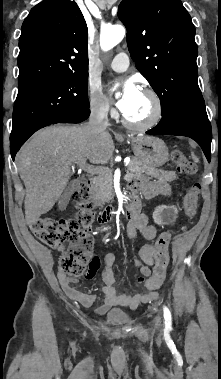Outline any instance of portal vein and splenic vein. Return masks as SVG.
Returning a JSON list of instances; mask_svg holds the SVG:
<instances>
[{
	"mask_svg": "<svg viewBox=\"0 0 221 379\" xmlns=\"http://www.w3.org/2000/svg\"><path fill=\"white\" fill-rule=\"evenodd\" d=\"M78 166L90 174H99L100 175L105 171V169H103V168H99V167H96L93 165H89L86 162H80V163H78ZM129 175H131V172L127 171L126 177H129Z\"/></svg>",
	"mask_w": 221,
	"mask_h": 379,
	"instance_id": "1",
	"label": "portal vein and splenic vein"
}]
</instances>
